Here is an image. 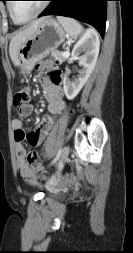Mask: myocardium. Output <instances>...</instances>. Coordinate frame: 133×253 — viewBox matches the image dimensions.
I'll use <instances>...</instances> for the list:
<instances>
[{
	"mask_svg": "<svg viewBox=\"0 0 133 253\" xmlns=\"http://www.w3.org/2000/svg\"><path fill=\"white\" fill-rule=\"evenodd\" d=\"M11 3H12V2H9V3L7 4V8H8V12H9V14H10L11 19H12L13 22L16 23V24H24V23H27V22L33 20L34 18L38 17V16L46 9V7H47V1L45 0V1L42 2V5L40 6V8H39L33 15H31L30 17H28V18H26V19H24V20H18V19H16V17L14 16Z\"/></svg>",
	"mask_w": 133,
	"mask_h": 253,
	"instance_id": "f54148a6",
	"label": "myocardium"
}]
</instances>
